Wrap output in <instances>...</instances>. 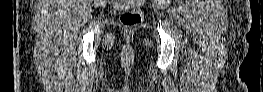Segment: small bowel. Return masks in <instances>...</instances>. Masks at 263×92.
Segmentation results:
<instances>
[{
    "mask_svg": "<svg viewBox=\"0 0 263 92\" xmlns=\"http://www.w3.org/2000/svg\"><path fill=\"white\" fill-rule=\"evenodd\" d=\"M120 2H124V3H134L133 1H120Z\"/></svg>",
    "mask_w": 263,
    "mask_h": 92,
    "instance_id": "1",
    "label": "small bowel"
}]
</instances>
